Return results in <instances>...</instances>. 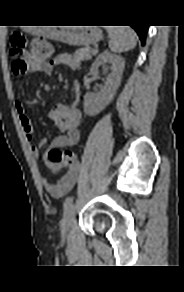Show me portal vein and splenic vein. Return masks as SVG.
Masks as SVG:
<instances>
[{"instance_id": "obj_1", "label": "portal vein and splenic vein", "mask_w": 184, "mask_h": 292, "mask_svg": "<svg viewBox=\"0 0 184 292\" xmlns=\"http://www.w3.org/2000/svg\"><path fill=\"white\" fill-rule=\"evenodd\" d=\"M93 53H97V50L96 49H93Z\"/></svg>"}]
</instances>
